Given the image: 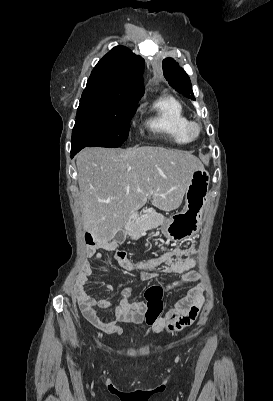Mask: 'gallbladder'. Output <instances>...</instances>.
<instances>
[{
    "mask_svg": "<svg viewBox=\"0 0 273 401\" xmlns=\"http://www.w3.org/2000/svg\"><path fill=\"white\" fill-rule=\"evenodd\" d=\"M116 239H117V241H119V243H124L125 237H124L123 230H121V231H119V233H117Z\"/></svg>",
    "mask_w": 273,
    "mask_h": 401,
    "instance_id": "1",
    "label": "gallbladder"
}]
</instances>
